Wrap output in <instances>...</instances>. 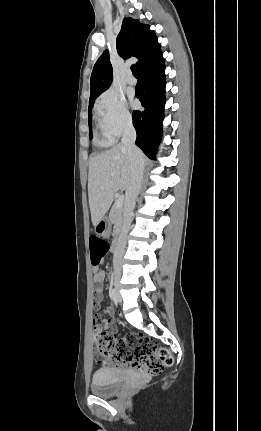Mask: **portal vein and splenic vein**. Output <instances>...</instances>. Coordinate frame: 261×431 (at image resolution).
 I'll use <instances>...</instances> for the list:
<instances>
[{
    "label": "portal vein and splenic vein",
    "mask_w": 261,
    "mask_h": 431,
    "mask_svg": "<svg viewBox=\"0 0 261 431\" xmlns=\"http://www.w3.org/2000/svg\"><path fill=\"white\" fill-rule=\"evenodd\" d=\"M123 199H124L123 196H119L118 199L115 202V206L118 207V208L121 207L123 205Z\"/></svg>",
    "instance_id": "obj_1"
}]
</instances>
